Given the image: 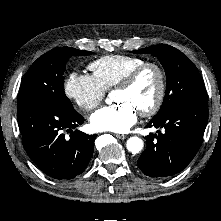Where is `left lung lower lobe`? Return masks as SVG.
Wrapping results in <instances>:
<instances>
[{
	"instance_id": "obj_1",
	"label": "left lung lower lobe",
	"mask_w": 221,
	"mask_h": 221,
	"mask_svg": "<svg viewBox=\"0 0 221 221\" xmlns=\"http://www.w3.org/2000/svg\"><path fill=\"white\" fill-rule=\"evenodd\" d=\"M208 121V100L187 102L146 127L163 128L146 137L147 148L137 163L150 177L164 178L182 171L198 152Z\"/></svg>"
}]
</instances>
